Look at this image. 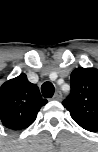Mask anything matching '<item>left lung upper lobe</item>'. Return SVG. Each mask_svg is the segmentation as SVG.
<instances>
[{
  "instance_id": "5c2ea615",
  "label": "left lung upper lobe",
  "mask_w": 98,
  "mask_h": 152,
  "mask_svg": "<svg viewBox=\"0 0 98 152\" xmlns=\"http://www.w3.org/2000/svg\"><path fill=\"white\" fill-rule=\"evenodd\" d=\"M71 92L62 102L73 120L82 128L98 130V70L76 68L71 73Z\"/></svg>"
}]
</instances>
